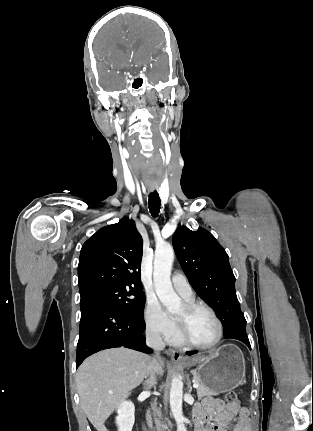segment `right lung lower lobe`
Here are the masks:
<instances>
[{
  "mask_svg": "<svg viewBox=\"0 0 313 431\" xmlns=\"http://www.w3.org/2000/svg\"><path fill=\"white\" fill-rule=\"evenodd\" d=\"M144 330L143 315L129 314L102 303L82 309L76 368L88 356L108 348L123 346L151 353L152 350L145 344Z\"/></svg>",
  "mask_w": 313,
  "mask_h": 431,
  "instance_id": "right-lung-lower-lobe-1",
  "label": "right lung lower lobe"
}]
</instances>
